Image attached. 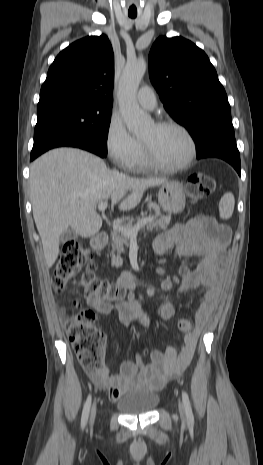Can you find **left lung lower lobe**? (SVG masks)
Segmentation results:
<instances>
[{
    "mask_svg": "<svg viewBox=\"0 0 263 465\" xmlns=\"http://www.w3.org/2000/svg\"><path fill=\"white\" fill-rule=\"evenodd\" d=\"M217 157L230 163L240 175V155L234 135L213 137L203 149L197 151V158Z\"/></svg>",
    "mask_w": 263,
    "mask_h": 465,
    "instance_id": "1",
    "label": "left lung lower lobe"
}]
</instances>
